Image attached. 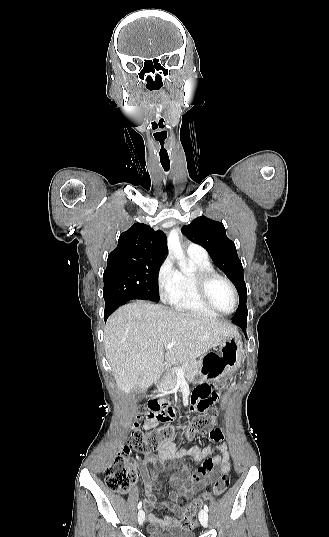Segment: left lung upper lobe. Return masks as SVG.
Instances as JSON below:
<instances>
[{
  "label": "left lung upper lobe",
  "mask_w": 329,
  "mask_h": 537,
  "mask_svg": "<svg viewBox=\"0 0 329 537\" xmlns=\"http://www.w3.org/2000/svg\"><path fill=\"white\" fill-rule=\"evenodd\" d=\"M186 237L204 247L215 263L235 285L239 294V306L232 321L241 326L247 321V290L243 278V266L237 255L235 244L226 236L221 222L205 216L194 219L182 228Z\"/></svg>",
  "instance_id": "1"
}]
</instances>
